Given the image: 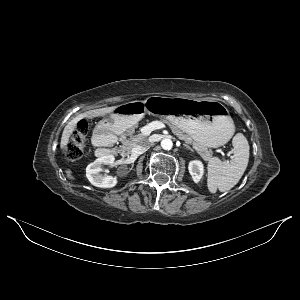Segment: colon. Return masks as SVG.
Segmentation results:
<instances>
[{
	"label": "colon",
	"mask_w": 300,
	"mask_h": 300,
	"mask_svg": "<svg viewBox=\"0 0 300 300\" xmlns=\"http://www.w3.org/2000/svg\"><path fill=\"white\" fill-rule=\"evenodd\" d=\"M88 128L89 123L85 119L77 123L76 130L66 147L68 159L77 160L83 156L86 149Z\"/></svg>",
	"instance_id": "obj_1"
}]
</instances>
